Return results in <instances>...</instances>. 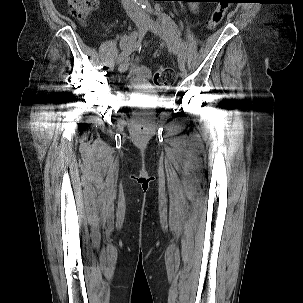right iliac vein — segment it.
I'll return each mask as SVG.
<instances>
[{"mask_svg": "<svg viewBox=\"0 0 303 303\" xmlns=\"http://www.w3.org/2000/svg\"><path fill=\"white\" fill-rule=\"evenodd\" d=\"M136 26H137V30H138V37H139V39H142L148 29V22L146 20L139 19L136 21ZM128 67H129V61L127 59L120 64L119 72L120 73L125 72L128 69Z\"/></svg>", "mask_w": 303, "mask_h": 303, "instance_id": "1", "label": "right iliac vein"}]
</instances>
